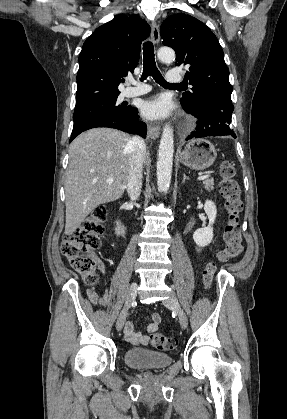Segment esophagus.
Listing matches in <instances>:
<instances>
[{
	"label": "esophagus",
	"instance_id": "esophagus-1",
	"mask_svg": "<svg viewBox=\"0 0 287 419\" xmlns=\"http://www.w3.org/2000/svg\"><path fill=\"white\" fill-rule=\"evenodd\" d=\"M151 38L155 44L159 43L160 40V31L157 23L153 21L151 23ZM160 126L159 125H149L148 134L151 139L156 140L160 136Z\"/></svg>",
	"mask_w": 287,
	"mask_h": 419
}]
</instances>
